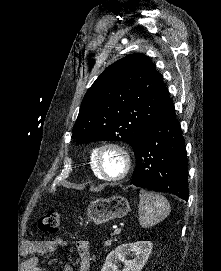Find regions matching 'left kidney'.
<instances>
[{
	"instance_id": "left-kidney-1",
	"label": "left kidney",
	"mask_w": 221,
	"mask_h": 271,
	"mask_svg": "<svg viewBox=\"0 0 221 271\" xmlns=\"http://www.w3.org/2000/svg\"><path fill=\"white\" fill-rule=\"evenodd\" d=\"M152 247L151 241L121 243L108 253L101 271H120L118 269L119 261H123L121 271H141L152 251ZM127 255H130L133 259H127Z\"/></svg>"
}]
</instances>
